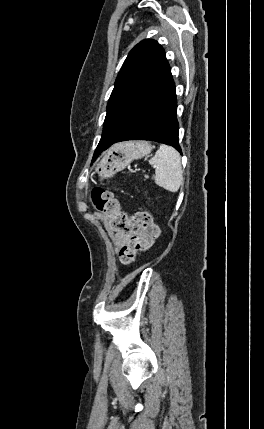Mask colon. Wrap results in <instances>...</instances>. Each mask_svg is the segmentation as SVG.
<instances>
[{
	"mask_svg": "<svg viewBox=\"0 0 264 429\" xmlns=\"http://www.w3.org/2000/svg\"><path fill=\"white\" fill-rule=\"evenodd\" d=\"M92 201L97 210L106 214L110 227L115 232H128L130 239L120 250L124 264L132 263L139 252L148 250L158 236V227L146 211L127 214L120 208L115 195L101 187L92 190Z\"/></svg>",
	"mask_w": 264,
	"mask_h": 429,
	"instance_id": "colon-1",
	"label": "colon"
}]
</instances>
